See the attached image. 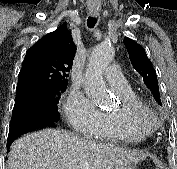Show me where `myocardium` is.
I'll return each instance as SVG.
<instances>
[{
    "mask_svg": "<svg viewBox=\"0 0 177 169\" xmlns=\"http://www.w3.org/2000/svg\"><path fill=\"white\" fill-rule=\"evenodd\" d=\"M129 130L152 133L160 125L157 114L142 101L121 102L115 110Z\"/></svg>",
    "mask_w": 177,
    "mask_h": 169,
    "instance_id": "obj_1",
    "label": "myocardium"
}]
</instances>
